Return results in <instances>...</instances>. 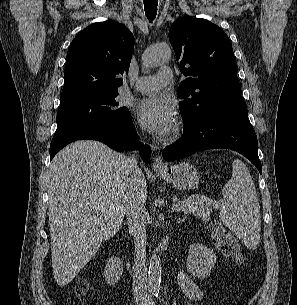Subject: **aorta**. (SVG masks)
I'll use <instances>...</instances> for the list:
<instances>
[{"label": "aorta", "mask_w": 297, "mask_h": 305, "mask_svg": "<svg viewBox=\"0 0 297 305\" xmlns=\"http://www.w3.org/2000/svg\"><path fill=\"white\" fill-rule=\"evenodd\" d=\"M171 55L172 51L168 45L151 47L144 52L142 62L146 67H155L169 61ZM161 276V260L158 254H153L150 259L148 269V287L151 295L157 296L159 294Z\"/></svg>", "instance_id": "1"}]
</instances>
